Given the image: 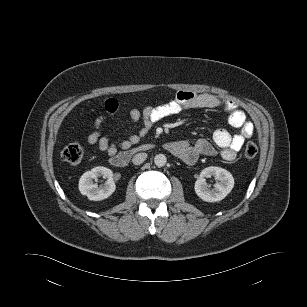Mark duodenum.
<instances>
[{"label": "duodenum", "instance_id": "410a0bca", "mask_svg": "<svg viewBox=\"0 0 307 307\" xmlns=\"http://www.w3.org/2000/svg\"><path fill=\"white\" fill-rule=\"evenodd\" d=\"M152 148L151 144H141L135 147H132L128 150L122 151L118 153L116 156L110 159V163L117 168H124L126 167L132 156L139 152L148 151Z\"/></svg>", "mask_w": 307, "mask_h": 307}]
</instances>
